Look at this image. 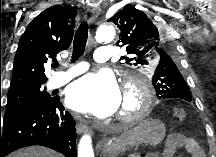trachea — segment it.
I'll use <instances>...</instances> for the list:
<instances>
[{
    "label": "trachea",
    "instance_id": "3493384b",
    "mask_svg": "<svg viewBox=\"0 0 216 157\" xmlns=\"http://www.w3.org/2000/svg\"><path fill=\"white\" fill-rule=\"evenodd\" d=\"M88 39V24L83 22L74 36L73 42V53H72V62H75L81 55H83ZM58 62L53 63V67H58Z\"/></svg>",
    "mask_w": 216,
    "mask_h": 157
}]
</instances>
